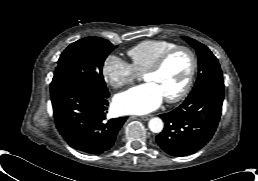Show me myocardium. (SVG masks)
Returning a JSON list of instances; mask_svg holds the SVG:
<instances>
[{"label":"myocardium","mask_w":258,"mask_h":181,"mask_svg":"<svg viewBox=\"0 0 258 181\" xmlns=\"http://www.w3.org/2000/svg\"><path fill=\"white\" fill-rule=\"evenodd\" d=\"M180 51H184L189 55L191 59V68L184 87L176 95L165 97V100L169 103L179 102L180 100L184 99L188 95V93L190 92L193 86L197 68H198V59L193 49H191L188 46H182V45H178L174 48H171L165 51L164 53H162L157 58V60L145 71V75L159 72L163 68L167 60L172 55Z\"/></svg>","instance_id":"obj_1"}]
</instances>
